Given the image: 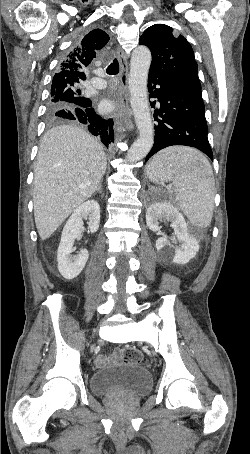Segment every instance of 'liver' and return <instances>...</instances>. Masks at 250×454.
<instances>
[{"label":"liver","mask_w":250,"mask_h":454,"mask_svg":"<svg viewBox=\"0 0 250 454\" xmlns=\"http://www.w3.org/2000/svg\"><path fill=\"white\" fill-rule=\"evenodd\" d=\"M107 166L104 149L82 128L60 125L41 141L34 171V218L41 240L98 188Z\"/></svg>","instance_id":"liver-1"}]
</instances>
